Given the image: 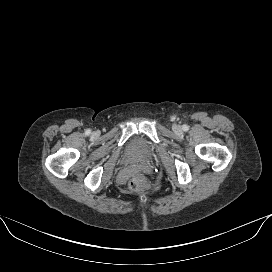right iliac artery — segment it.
Masks as SVG:
<instances>
[{"label": "right iliac artery", "instance_id": "1", "mask_svg": "<svg viewBox=\"0 0 272 272\" xmlns=\"http://www.w3.org/2000/svg\"><path fill=\"white\" fill-rule=\"evenodd\" d=\"M90 133H91L90 129L86 130V132H85L86 135H89Z\"/></svg>", "mask_w": 272, "mask_h": 272}]
</instances>
